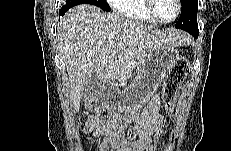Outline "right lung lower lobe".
<instances>
[{
	"mask_svg": "<svg viewBox=\"0 0 231 151\" xmlns=\"http://www.w3.org/2000/svg\"><path fill=\"white\" fill-rule=\"evenodd\" d=\"M78 3V1L74 0V1H69V2H65V5H63L60 10H59V14L61 16H63L65 14V12H67L71 7L75 6V4Z\"/></svg>",
	"mask_w": 231,
	"mask_h": 151,
	"instance_id": "1",
	"label": "right lung lower lobe"
}]
</instances>
